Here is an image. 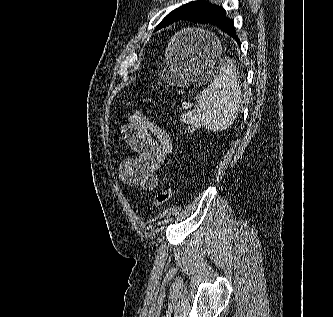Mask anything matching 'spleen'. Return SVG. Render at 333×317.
I'll return each instance as SVG.
<instances>
[{
	"label": "spleen",
	"instance_id": "3e777b00",
	"mask_svg": "<svg viewBox=\"0 0 333 317\" xmlns=\"http://www.w3.org/2000/svg\"><path fill=\"white\" fill-rule=\"evenodd\" d=\"M208 34L214 37L213 34ZM217 42L220 44L219 40ZM241 97L236 66L231 61L224 60L210 85L196 95L199 108L183 113L180 120L191 124L193 128L202 126L215 132L225 130L233 124L238 115Z\"/></svg>",
	"mask_w": 333,
	"mask_h": 317
}]
</instances>
